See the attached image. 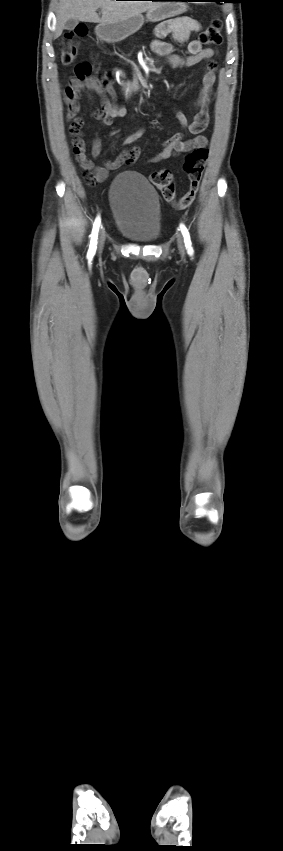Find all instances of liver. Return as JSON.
Wrapping results in <instances>:
<instances>
[{"mask_svg": "<svg viewBox=\"0 0 283 851\" xmlns=\"http://www.w3.org/2000/svg\"><path fill=\"white\" fill-rule=\"evenodd\" d=\"M156 1L60 0L56 12L55 37L62 33L69 19L93 23H117L157 7ZM100 8L102 17L96 13Z\"/></svg>", "mask_w": 283, "mask_h": 851, "instance_id": "obj_1", "label": "liver"}]
</instances>
